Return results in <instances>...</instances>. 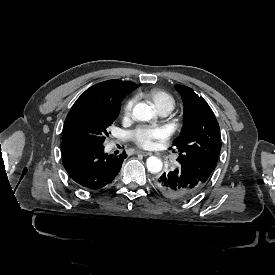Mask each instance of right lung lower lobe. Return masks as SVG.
Returning <instances> with one entry per match:
<instances>
[{
	"mask_svg": "<svg viewBox=\"0 0 275 275\" xmlns=\"http://www.w3.org/2000/svg\"><path fill=\"white\" fill-rule=\"evenodd\" d=\"M62 162L70 178L81 188L101 189L110 184L120 171L127 154L108 155L104 146L72 141L61 144Z\"/></svg>",
	"mask_w": 275,
	"mask_h": 275,
	"instance_id": "right-lung-lower-lobe-1",
	"label": "right lung lower lobe"
}]
</instances>
